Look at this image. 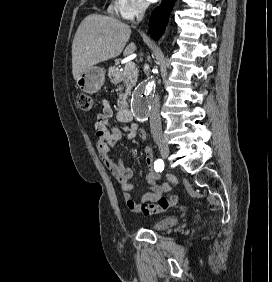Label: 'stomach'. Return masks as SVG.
<instances>
[{"mask_svg":"<svg viewBox=\"0 0 272 282\" xmlns=\"http://www.w3.org/2000/svg\"><path fill=\"white\" fill-rule=\"evenodd\" d=\"M105 81V73L101 67L93 66L81 74L76 84L83 92L94 94L100 90Z\"/></svg>","mask_w":272,"mask_h":282,"instance_id":"obj_1","label":"stomach"}]
</instances>
